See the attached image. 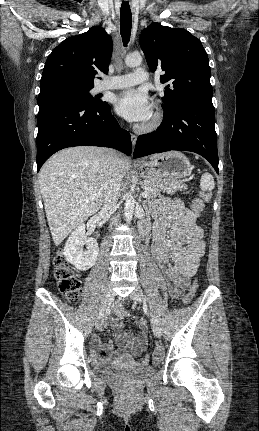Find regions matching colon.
Returning <instances> with one entry per match:
<instances>
[{"instance_id": "5ec220e1", "label": "colon", "mask_w": 259, "mask_h": 431, "mask_svg": "<svg viewBox=\"0 0 259 431\" xmlns=\"http://www.w3.org/2000/svg\"><path fill=\"white\" fill-rule=\"evenodd\" d=\"M211 200V195L208 192H202L200 197L192 202V211L194 217L197 220H201L204 217L202 212L204 208V203H207ZM54 276L57 281V285L61 293L65 296V298L74 302L80 298L81 295V283L79 278L75 275L73 269L65 260L64 256L59 253L54 258ZM197 290V282L194 280L184 297V304H189L193 300ZM150 361V356L148 354L144 355L142 358V363L147 364Z\"/></svg>"}]
</instances>
